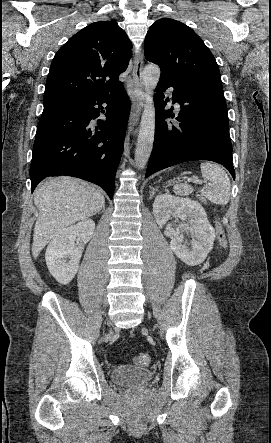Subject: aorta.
Listing matches in <instances>:
<instances>
[{
    "mask_svg": "<svg viewBox=\"0 0 271 443\" xmlns=\"http://www.w3.org/2000/svg\"><path fill=\"white\" fill-rule=\"evenodd\" d=\"M160 68L156 64H148L143 70L144 110L139 128L135 150L136 168L146 166L152 152L155 134L154 90L159 82Z\"/></svg>",
    "mask_w": 271,
    "mask_h": 443,
    "instance_id": "1",
    "label": "aorta"
}]
</instances>
